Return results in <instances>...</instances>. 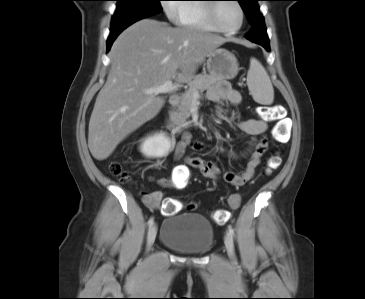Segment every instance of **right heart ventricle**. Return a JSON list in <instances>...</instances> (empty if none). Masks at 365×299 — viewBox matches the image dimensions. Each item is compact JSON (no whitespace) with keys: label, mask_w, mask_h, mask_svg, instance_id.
<instances>
[{"label":"right heart ventricle","mask_w":365,"mask_h":299,"mask_svg":"<svg viewBox=\"0 0 365 299\" xmlns=\"http://www.w3.org/2000/svg\"><path fill=\"white\" fill-rule=\"evenodd\" d=\"M204 1V0H187ZM177 22L179 25L214 31L207 19V4H181Z\"/></svg>","instance_id":"e07e8e85"}]
</instances>
